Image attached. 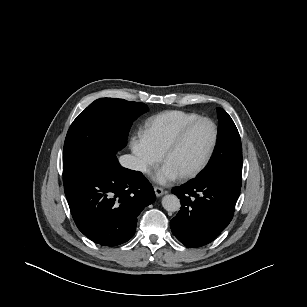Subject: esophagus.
<instances>
[{"label":"esophagus","instance_id":"esophagus-1","mask_svg":"<svg viewBox=\"0 0 307 307\" xmlns=\"http://www.w3.org/2000/svg\"><path fill=\"white\" fill-rule=\"evenodd\" d=\"M154 192L156 194L157 197H160L164 194V191L162 188L158 187V186H155L154 187Z\"/></svg>","mask_w":307,"mask_h":307}]
</instances>
